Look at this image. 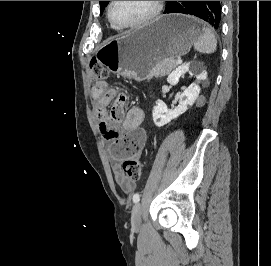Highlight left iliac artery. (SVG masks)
Wrapping results in <instances>:
<instances>
[{"label": "left iliac artery", "mask_w": 271, "mask_h": 266, "mask_svg": "<svg viewBox=\"0 0 271 266\" xmlns=\"http://www.w3.org/2000/svg\"><path fill=\"white\" fill-rule=\"evenodd\" d=\"M139 200H140V195H139V193L134 194V195H133V202H134V203H137V202H139Z\"/></svg>", "instance_id": "obj_1"}]
</instances>
